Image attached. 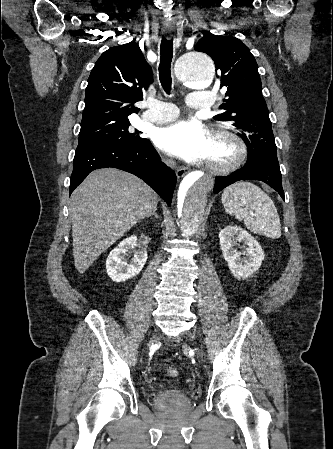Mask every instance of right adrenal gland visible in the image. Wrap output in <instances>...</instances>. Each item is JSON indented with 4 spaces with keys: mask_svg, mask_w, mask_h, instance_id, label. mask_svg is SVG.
<instances>
[{
    "mask_svg": "<svg viewBox=\"0 0 333 449\" xmlns=\"http://www.w3.org/2000/svg\"><path fill=\"white\" fill-rule=\"evenodd\" d=\"M156 211H157V209H155V210L152 212V214H150L148 217H150V216H155V218L159 219V216L157 215Z\"/></svg>",
    "mask_w": 333,
    "mask_h": 449,
    "instance_id": "1",
    "label": "right adrenal gland"
}]
</instances>
